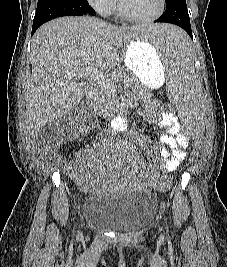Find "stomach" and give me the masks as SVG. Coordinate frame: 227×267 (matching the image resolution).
Listing matches in <instances>:
<instances>
[{
	"instance_id": "obj_1",
	"label": "stomach",
	"mask_w": 227,
	"mask_h": 267,
	"mask_svg": "<svg viewBox=\"0 0 227 267\" xmlns=\"http://www.w3.org/2000/svg\"><path fill=\"white\" fill-rule=\"evenodd\" d=\"M123 62L146 87L156 88L164 82L167 63L165 59H160V55H155V47H149L148 43L130 40L126 44Z\"/></svg>"
}]
</instances>
